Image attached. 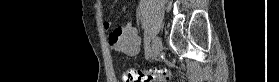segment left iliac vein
<instances>
[{
  "label": "left iliac vein",
  "instance_id": "left-iliac-vein-1",
  "mask_svg": "<svg viewBox=\"0 0 279 82\" xmlns=\"http://www.w3.org/2000/svg\"><path fill=\"white\" fill-rule=\"evenodd\" d=\"M161 50H162L161 38L156 36V37H154L153 42H152V52H151L152 59H157L161 53Z\"/></svg>",
  "mask_w": 279,
  "mask_h": 82
}]
</instances>
